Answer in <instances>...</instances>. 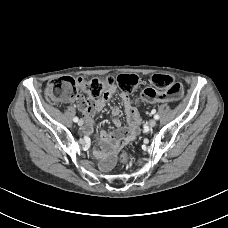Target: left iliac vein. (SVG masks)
Listing matches in <instances>:
<instances>
[{
  "instance_id": "obj_1",
  "label": "left iliac vein",
  "mask_w": 228,
  "mask_h": 228,
  "mask_svg": "<svg viewBox=\"0 0 228 228\" xmlns=\"http://www.w3.org/2000/svg\"><path fill=\"white\" fill-rule=\"evenodd\" d=\"M156 124H157V122H156L155 119H151V120L149 121V123H148L149 127H151V128H152V127H155Z\"/></svg>"
}]
</instances>
